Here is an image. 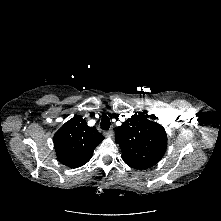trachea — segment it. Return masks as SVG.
Returning <instances> with one entry per match:
<instances>
[{
  "instance_id": "3493384b",
  "label": "trachea",
  "mask_w": 221,
  "mask_h": 221,
  "mask_svg": "<svg viewBox=\"0 0 221 221\" xmlns=\"http://www.w3.org/2000/svg\"><path fill=\"white\" fill-rule=\"evenodd\" d=\"M110 119L107 115H103L101 119V129L108 130L110 128Z\"/></svg>"
}]
</instances>
